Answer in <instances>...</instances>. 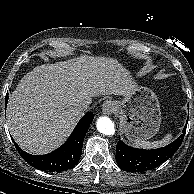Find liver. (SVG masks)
<instances>
[{"label": "liver", "instance_id": "6515ba94", "mask_svg": "<svg viewBox=\"0 0 194 194\" xmlns=\"http://www.w3.org/2000/svg\"><path fill=\"white\" fill-rule=\"evenodd\" d=\"M130 72L117 60L80 56L35 67L7 105V125L18 145L45 154L62 144L83 115L80 104L100 95H129Z\"/></svg>", "mask_w": 194, "mask_h": 194}]
</instances>
